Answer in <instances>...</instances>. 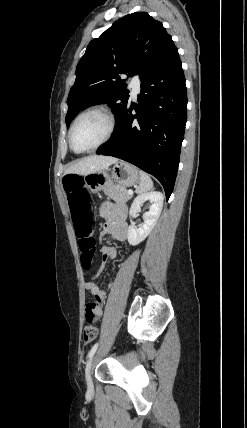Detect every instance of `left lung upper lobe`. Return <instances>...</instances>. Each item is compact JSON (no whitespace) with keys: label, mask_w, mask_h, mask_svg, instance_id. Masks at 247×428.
Here are the masks:
<instances>
[{"label":"left lung upper lobe","mask_w":247,"mask_h":428,"mask_svg":"<svg viewBox=\"0 0 247 428\" xmlns=\"http://www.w3.org/2000/svg\"><path fill=\"white\" fill-rule=\"evenodd\" d=\"M175 48L162 23L146 12H135L115 22L92 40L77 65L76 81L68 99L66 125L81 109L108 103L119 119L129 103V90L120 76L140 78Z\"/></svg>","instance_id":"left-lung-upper-lobe-1"}]
</instances>
